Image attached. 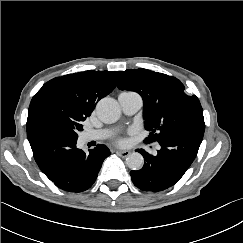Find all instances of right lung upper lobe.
Wrapping results in <instances>:
<instances>
[{
	"mask_svg": "<svg viewBox=\"0 0 243 243\" xmlns=\"http://www.w3.org/2000/svg\"><path fill=\"white\" fill-rule=\"evenodd\" d=\"M121 73V71L89 70L48 81L31 100L26 127L36 125L31 115L33 105L48 97H57L78 113L89 117L97 102L116 87Z\"/></svg>",
	"mask_w": 243,
	"mask_h": 243,
	"instance_id": "cb5924a9",
	"label": "right lung upper lobe"
}]
</instances>
